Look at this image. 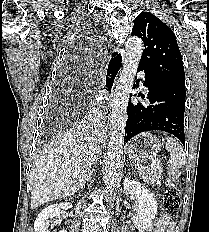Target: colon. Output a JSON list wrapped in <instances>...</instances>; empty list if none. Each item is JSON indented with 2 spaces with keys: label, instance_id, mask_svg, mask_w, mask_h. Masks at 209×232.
<instances>
[{
  "label": "colon",
  "instance_id": "1",
  "mask_svg": "<svg viewBox=\"0 0 209 232\" xmlns=\"http://www.w3.org/2000/svg\"><path fill=\"white\" fill-rule=\"evenodd\" d=\"M163 206L164 211L161 219L167 222H171L178 217L180 209V195L173 185L166 186L163 195Z\"/></svg>",
  "mask_w": 209,
  "mask_h": 232
}]
</instances>
